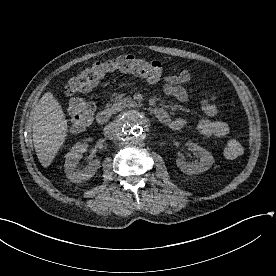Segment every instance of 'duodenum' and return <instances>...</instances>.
Returning <instances> with one entry per match:
<instances>
[{"label": "duodenum", "instance_id": "duodenum-1", "mask_svg": "<svg viewBox=\"0 0 276 276\" xmlns=\"http://www.w3.org/2000/svg\"><path fill=\"white\" fill-rule=\"evenodd\" d=\"M151 112L162 123H166L169 119L168 113L161 108H152ZM111 117L112 112L110 109H102L97 113L96 120L99 124L105 125L111 120Z\"/></svg>", "mask_w": 276, "mask_h": 276}]
</instances>
